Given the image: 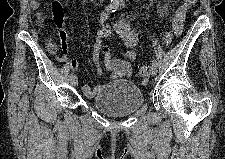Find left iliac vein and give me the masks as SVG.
Wrapping results in <instances>:
<instances>
[{
  "label": "left iliac vein",
  "mask_w": 225,
  "mask_h": 159,
  "mask_svg": "<svg viewBox=\"0 0 225 159\" xmlns=\"http://www.w3.org/2000/svg\"><path fill=\"white\" fill-rule=\"evenodd\" d=\"M151 75L155 76L157 74V67L152 65L150 68Z\"/></svg>",
  "instance_id": "4c4485c4"
}]
</instances>
